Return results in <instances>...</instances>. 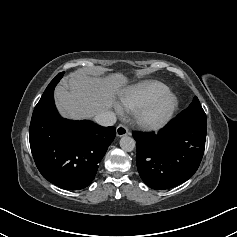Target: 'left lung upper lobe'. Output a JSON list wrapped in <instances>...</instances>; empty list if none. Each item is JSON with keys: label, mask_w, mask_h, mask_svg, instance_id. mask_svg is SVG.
Segmentation results:
<instances>
[{"label": "left lung upper lobe", "mask_w": 237, "mask_h": 237, "mask_svg": "<svg viewBox=\"0 0 237 237\" xmlns=\"http://www.w3.org/2000/svg\"><path fill=\"white\" fill-rule=\"evenodd\" d=\"M176 118L181 121L207 124L206 114L197 97H194L189 107L178 114Z\"/></svg>", "instance_id": "5c2ea615"}]
</instances>
